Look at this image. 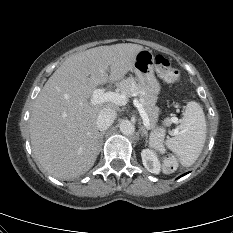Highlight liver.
<instances>
[{"mask_svg": "<svg viewBox=\"0 0 233 233\" xmlns=\"http://www.w3.org/2000/svg\"><path fill=\"white\" fill-rule=\"evenodd\" d=\"M143 49L132 43L91 48L68 57L48 79L30 118L32 149L48 173L70 180L94 165L98 114L104 108H119L111 102L93 105V91L108 81L118 84Z\"/></svg>", "mask_w": 233, "mask_h": 233, "instance_id": "6515ba94", "label": "liver"}]
</instances>
